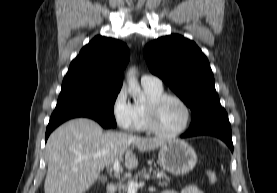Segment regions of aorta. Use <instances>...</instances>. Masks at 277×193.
<instances>
[{
  "label": "aorta",
  "mask_w": 277,
  "mask_h": 193,
  "mask_svg": "<svg viewBox=\"0 0 277 193\" xmlns=\"http://www.w3.org/2000/svg\"><path fill=\"white\" fill-rule=\"evenodd\" d=\"M127 84H128V92L132 95L133 98L137 99L140 102L145 101V96L136 78L135 68H130V70L128 71Z\"/></svg>",
  "instance_id": "aorta-1"
}]
</instances>
